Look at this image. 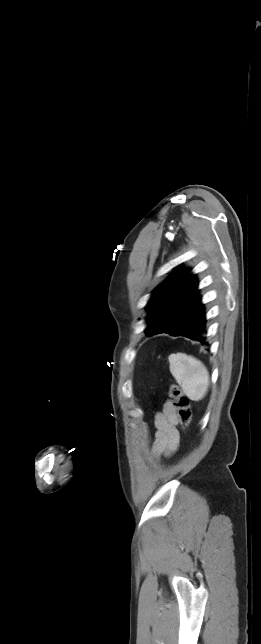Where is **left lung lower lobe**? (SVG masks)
<instances>
[{
    "label": "left lung lower lobe",
    "mask_w": 261,
    "mask_h": 644,
    "mask_svg": "<svg viewBox=\"0 0 261 644\" xmlns=\"http://www.w3.org/2000/svg\"><path fill=\"white\" fill-rule=\"evenodd\" d=\"M169 334L172 336H183L189 338L201 343V345H208L204 306L202 305L193 317L181 326L172 330Z\"/></svg>",
    "instance_id": "left-lung-lower-lobe-1"
}]
</instances>
